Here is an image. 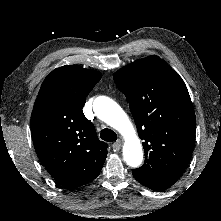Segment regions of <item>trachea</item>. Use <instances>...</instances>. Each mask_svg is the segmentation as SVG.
I'll return each mask as SVG.
<instances>
[{"label": "trachea", "instance_id": "trachea-1", "mask_svg": "<svg viewBox=\"0 0 221 221\" xmlns=\"http://www.w3.org/2000/svg\"><path fill=\"white\" fill-rule=\"evenodd\" d=\"M100 137L102 140L107 141V142H114L117 140V135L116 133L108 128H105L101 131Z\"/></svg>", "mask_w": 221, "mask_h": 221}]
</instances>
